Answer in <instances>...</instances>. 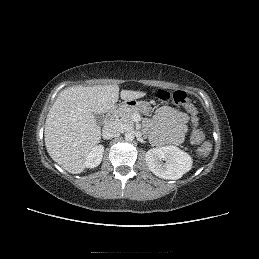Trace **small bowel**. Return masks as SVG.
<instances>
[{
    "instance_id": "obj_1",
    "label": "small bowel",
    "mask_w": 259,
    "mask_h": 259,
    "mask_svg": "<svg viewBox=\"0 0 259 259\" xmlns=\"http://www.w3.org/2000/svg\"><path fill=\"white\" fill-rule=\"evenodd\" d=\"M189 116V113H184L176 108L168 106L159 108L152 121V125L155 127V141L179 144L188 131Z\"/></svg>"
}]
</instances>
